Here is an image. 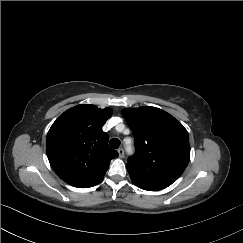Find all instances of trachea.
I'll return each mask as SVG.
<instances>
[{
  "label": "trachea",
  "instance_id": "obj_1",
  "mask_svg": "<svg viewBox=\"0 0 243 243\" xmlns=\"http://www.w3.org/2000/svg\"><path fill=\"white\" fill-rule=\"evenodd\" d=\"M110 145L111 147H113L114 149H117L120 146V140L117 138H112L110 140Z\"/></svg>",
  "mask_w": 243,
  "mask_h": 243
}]
</instances>
